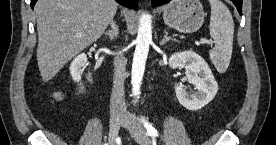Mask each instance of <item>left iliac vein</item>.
Segmentation results:
<instances>
[{
    "label": "left iliac vein",
    "instance_id": "1",
    "mask_svg": "<svg viewBox=\"0 0 276 145\" xmlns=\"http://www.w3.org/2000/svg\"><path fill=\"white\" fill-rule=\"evenodd\" d=\"M122 126L127 128L132 135V137L142 145H149L150 144V138L146 132V130L143 128V126L140 124L138 119L133 114H126L124 117V120L122 122Z\"/></svg>",
    "mask_w": 276,
    "mask_h": 145
}]
</instances>
